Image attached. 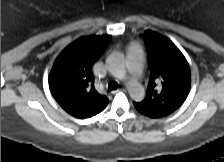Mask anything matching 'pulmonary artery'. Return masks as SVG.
Returning a JSON list of instances; mask_svg holds the SVG:
<instances>
[{
    "label": "pulmonary artery",
    "instance_id": "e3ab8cb5",
    "mask_svg": "<svg viewBox=\"0 0 224 162\" xmlns=\"http://www.w3.org/2000/svg\"><path fill=\"white\" fill-rule=\"evenodd\" d=\"M127 70L133 76L142 73V62L139 55V48L135 45L130 46L127 56Z\"/></svg>",
    "mask_w": 224,
    "mask_h": 162
}]
</instances>
